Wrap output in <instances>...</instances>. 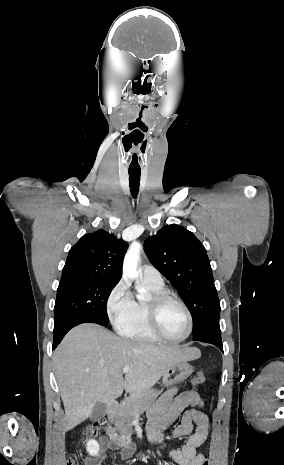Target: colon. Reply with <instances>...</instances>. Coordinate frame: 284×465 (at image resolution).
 Returning a JSON list of instances; mask_svg holds the SVG:
<instances>
[{
  "mask_svg": "<svg viewBox=\"0 0 284 465\" xmlns=\"http://www.w3.org/2000/svg\"><path fill=\"white\" fill-rule=\"evenodd\" d=\"M206 378H205V375L203 372L199 371V372H196L194 374V377H193V382L197 385L199 384H203L205 382ZM99 432V429L98 428H88L86 429L85 431H83L81 433V435L83 436V438H87V437H90V436H95L97 435ZM68 465H79V462L76 458H73L69 463ZM201 465H209L208 462H202Z\"/></svg>",
  "mask_w": 284,
  "mask_h": 465,
  "instance_id": "colon-1",
  "label": "colon"
}]
</instances>
